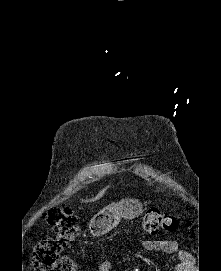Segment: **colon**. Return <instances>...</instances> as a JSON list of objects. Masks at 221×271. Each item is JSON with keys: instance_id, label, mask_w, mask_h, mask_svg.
<instances>
[{"instance_id": "1", "label": "colon", "mask_w": 221, "mask_h": 271, "mask_svg": "<svg viewBox=\"0 0 221 271\" xmlns=\"http://www.w3.org/2000/svg\"><path fill=\"white\" fill-rule=\"evenodd\" d=\"M50 224V235L34 246L32 257L37 271H76V266L68 255L61 252L69 242L75 241L81 232L77 215L70 207H52L45 213ZM142 228L148 234L161 231L172 232L180 225L178 217L149 208L142 217Z\"/></svg>"}]
</instances>
